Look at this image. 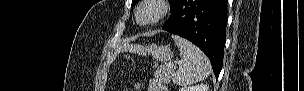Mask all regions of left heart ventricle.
Returning <instances> with one entry per match:
<instances>
[{
  "label": "left heart ventricle",
  "instance_id": "obj_1",
  "mask_svg": "<svg viewBox=\"0 0 304 91\" xmlns=\"http://www.w3.org/2000/svg\"><path fill=\"white\" fill-rule=\"evenodd\" d=\"M156 13V9L152 6H145L141 9L139 19L141 21H147L151 19Z\"/></svg>",
  "mask_w": 304,
  "mask_h": 91
}]
</instances>
